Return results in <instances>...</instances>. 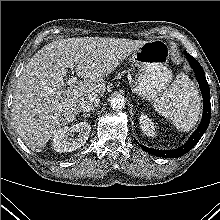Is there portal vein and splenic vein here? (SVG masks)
<instances>
[{
  "instance_id": "1",
  "label": "portal vein and splenic vein",
  "mask_w": 220,
  "mask_h": 220,
  "mask_svg": "<svg viewBox=\"0 0 220 220\" xmlns=\"http://www.w3.org/2000/svg\"><path fill=\"white\" fill-rule=\"evenodd\" d=\"M70 68L71 69L74 68L73 64L70 65ZM76 81H77V77L76 76H71V78H69V80L67 81V85L69 87H73L74 84L76 83ZM58 94H60V93L58 92Z\"/></svg>"
}]
</instances>
